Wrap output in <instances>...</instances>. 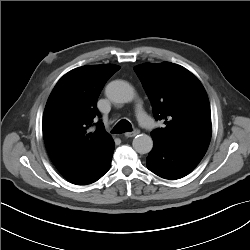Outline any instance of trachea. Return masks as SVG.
I'll list each match as a JSON object with an SVG mask.
<instances>
[{
    "instance_id": "obj_1",
    "label": "trachea",
    "mask_w": 250,
    "mask_h": 250,
    "mask_svg": "<svg viewBox=\"0 0 250 250\" xmlns=\"http://www.w3.org/2000/svg\"><path fill=\"white\" fill-rule=\"evenodd\" d=\"M132 131V125L127 120H120L115 127L112 130V133L114 134H121L125 132H131Z\"/></svg>"
}]
</instances>
